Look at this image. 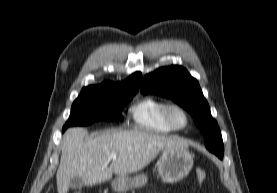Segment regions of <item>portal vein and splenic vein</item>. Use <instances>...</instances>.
<instances>
[{
    "instance_id": "18ae733b",
    "label": "portal vein and splenic vein",
    "mask_w": 277,
    "mask_h": 193,
    "mask_svg": "<svg viewBox=\"0 0 277 193\" xmlns=\"http://www.w3.org/2000/svg\"><path fill=\"white\" fill-rule=\"evenodd\" d=\"M117 158V154L116 153H111L109 156V159H116Z\"/></svg>"
}]
</instances>
